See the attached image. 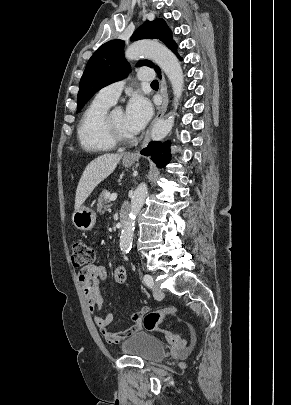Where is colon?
Segmentation results:
<instances>
[{
	"label": "colon",
	"mask_w": 291,
	"mask_h": 405,
	"mask_svg": "<svg viewBox=\"0 0 291 405\" xmlns=\"http://www.w3.org/2000/svg\"><path fill=\"white\" fill-rule=\"evenodd\" d=\"M71 260L74 267H86L93 264L95 260L94 249L84 241H75L71 247ZM113 277L116 283L124 284L126 282V269L123 266H117L114 269ZM176 307H166L157 311L147 313L143 317V326L148 331H160L164 334L167 342L176 349H181L185 345L182 337L166 329H159V324L164 317L176 313Z\"/></svg>",
	"instance_id": "1"
}]
</instances>
